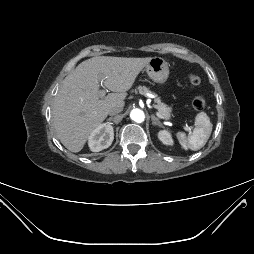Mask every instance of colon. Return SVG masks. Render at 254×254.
Returning <instances> with one entry per match:
<instances>
[{
    "label": "colon",
    "mask_w": 254,
    "mask_h": 254,
    "mask_svg": "<svg viewBox=\"0 0 254 254\" xmlns=\"http://www.w3.org/2000/svg\"><path fill=\"white\" fill-rule=\"evenodd\" d=\"M188 82L191 86H199L201 84V77L198 74H190ZM192 106L195 110L200 111L205 107V100L203 97L198 96L192 101Z\"/></svg>",
    "instance_id": "colon-1"
}]
</instances>
